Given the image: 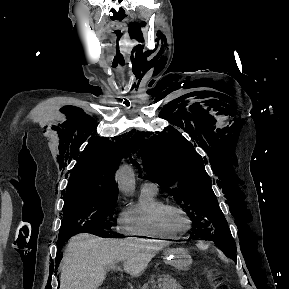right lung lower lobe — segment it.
Instances as JSON below:
<instances>
[{"label":"right lung lower lobe","instance_id":"obj_1","mask_svg":"<svg viewBox=\"0 0 289 289\" xmlns=\"http://www.w3.org/2000/svg\"><path fill=\"white\" fill-rule=\"evenodd\" d=\"M67 242V241H66ZM65 242L64 241H57V246H58V248H57V256H56V264H59V262H60V252H61V249H62V247H63V244H64Z\"/></svg>","mask_w":289,"mask_h":289}]
</instances>
